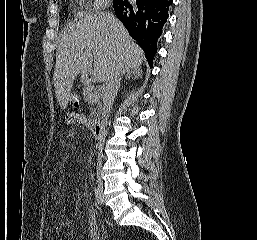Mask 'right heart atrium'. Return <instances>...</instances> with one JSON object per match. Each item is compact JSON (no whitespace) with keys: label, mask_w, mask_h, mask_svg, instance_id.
<instances>
[{"label":"right heart atrium","mask_w":257,"mask_h":240,"mask_svg":"<svg viewBox=\"0 0 257 240\" xmlns=\"http://www.w3.org/2000/svg\"><path fill=\"white\" fill-rule=\"evenodd\" d=\"M110 0H93V7L96 10L103 9L107 6Z\"/></svg>","instance_id":"1"}]
</instances>
